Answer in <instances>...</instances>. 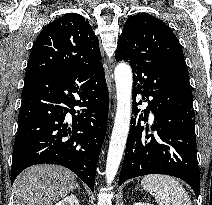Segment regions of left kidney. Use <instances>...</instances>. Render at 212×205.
I'll use <instances>...</instances> for the list:
<instances>
[{
	"label": "left kidney",
	"instance_id": "obj_1",
	"mask_svg": "<svg viewBox=\"0 0 212 205\" xmlns=\"http://www.w3.org/2000/svg\"><path fill=\"white\" fill-rule=\"evenodd\" d=\"M133 205H152V204L137 202V203H134Z\"/></svg>",
	"mask_w": 212,
	"mask_h": 205
}]
</instances>
